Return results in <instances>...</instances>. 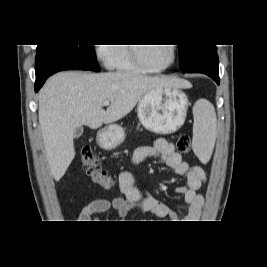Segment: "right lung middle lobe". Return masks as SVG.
<instances>
[{
    "label": "right lung middle lobe",
    "instance_id": "dd1d6c3e",
    "mask_svg": "<svg viewBox=\"0 0 267 267\" xmlns=\"http://www.w3.org/2000/svg\"><path fill=\"white\" fill-rule=\"evenodd\" d=\"M54 50L84 64L93 71H100L93 45L53 44L38 45L36 51Z\"/></svg>",
    "mask_w": 267,
    "mask_h": 267
}]
</instances>
